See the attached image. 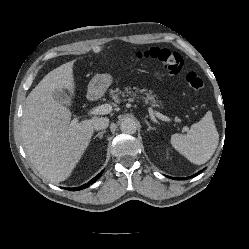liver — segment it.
<instances>
[{"instance_id": "1", "label": "liver", "mask_w": 249, "mask_h": 249, "mask_svg": "<svg viewBox=\"0 0 249 249\" xmlns=\"http://www.w3.org/2000/svg\"><path fill=\"white\" fill-rule=\"evenodd\" d=\"M74 61L50 71L26 98L21 135L27 155L36 170L52 183L66 180L88 147L94 119L72 124L71 104L54 99L56 90L74 95Z\"/></svg>"}]
</instances>
